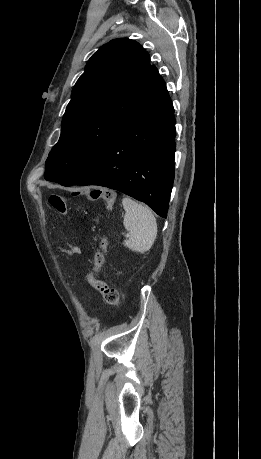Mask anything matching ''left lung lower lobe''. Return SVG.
<instances>
[{
	"label": "left lung lower lobe",
	"instance_id": "0a47b994",
	"mask_svg": "<svg viewBox=\"0 0 261 459\" xmlns=\"http://www.w3.org/2000/svg\"><path fill=\"white\" fill-rule=\"evenodd\" d=\"M175 149L174 109L163 81L95 158L60 184L115 189L166 218Z\"/></svg>",
	"mask_w": 261,
	"mask_h": 459
}]
</instances>
